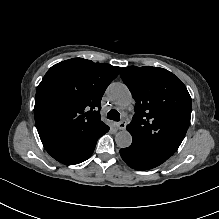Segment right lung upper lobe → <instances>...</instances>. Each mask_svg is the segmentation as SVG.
Masks as SVG:
<instances>
[{"instance_id":"cb5924a9","label":"right lung upper lobe","mask_w":219,"mask_h":219,"mask_svg":"<svg viewBox=\"0 0 219 219\" xmlns=\"http://www.w3.org/2000/svg\"><path fill=\"white\" fill-rule=\"evenodd\" d=\"M120 67L73 58L52 66L38 85L34 115L42 143L87 140L106 124L102 96Z\"/></svg>"}]
</instances>
